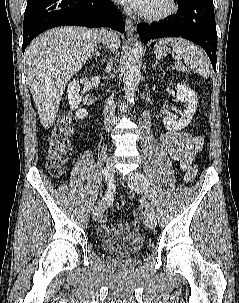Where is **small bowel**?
<instances>
[{
	"label": "small bowel",
	"mask_w": 239,
	"mask_h": 303,
	"mask_svg": "<svg viewBox=\"0 0 239 303\" xmlns=\"http://www.w3.org/2000/svg\"><path fill=\"white\" fill-rule=\"evenodd\" d=\"M160 140L169 156L179 163V167L184 173V181H192L196 175L195 157L203 148V139L191 132L183 131L165 132L161 135ZM136 218H139L138 214H136ZM100 223L99 234L103 237H109L120 231L134 232L139 225L132 221L114 227L108 224L106 217H102Z\"/></svg>",
	"instance_id": "c3829d8e"
}]
</instances>
